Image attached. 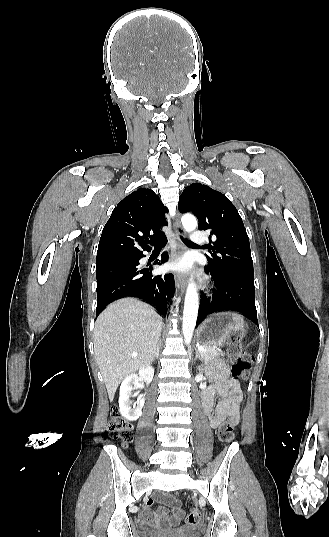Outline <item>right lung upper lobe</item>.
Wrapping results in <instances>:
<instances>
[{
  "label": "right lung upper lobe",
  "instance_id": "obj_1",
  "mask_svg": "<svg viewBox=\"0 0 329 537\" xmlns=\"http://www.w3.org/2000/svg\"><path fill=\"white\" fill-rule=\"evenodd\" d=\"M168 213L160 198L150 189L140 188L119 202L103 228L97 262L124 259L150 250L149 239L162 235Z\"/></svg>",
  "mask_w": 329,
  "mask_h": 537
}]
</instances>
